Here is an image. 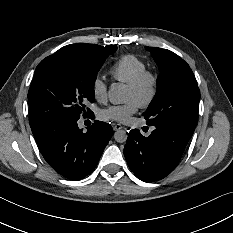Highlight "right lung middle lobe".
Segmentation results:
<instances>
[{
    "instance_id": "1",
    "label": "right lung middle lobe",
    "mask_w": 233,
    "mask_h": 233,
    "mask_svg": "<svg viewBox=\"0 0 233 233\" xmlns=\"http://www.w3.org/2000/svg\"><path fill=\"white\" fill-rule=\"evenodd\" d=\"M103 61L58 51L42 60L28 92L30 126L80 118L84 103L94 101V82ZM90 112L88 109L83 116Z\"/></svg>"
}]
</instances>
